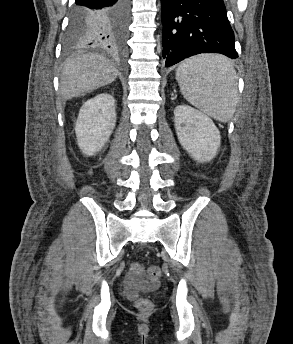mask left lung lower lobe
I'll return each instance as SVG.
<instances>
[{"label": "left lung lower lobe", "instance_id": "obj_1", "mask_svg": "<svg viewBox=\"0 0 293 344\" xmlns=\"http://www.w3.org/2000/svg\"><path fill=\"white\" fill-rule=\"evenodd\" d=\"M165 66L200 53L238 57L223 0H161Z\"/></svg>", "mask_w": 293, "mask_h": 344}]
</instances>
